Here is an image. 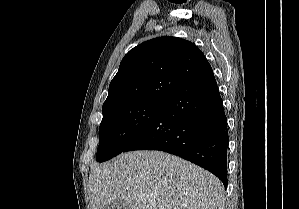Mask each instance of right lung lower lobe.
<instances>
[{"instance_id":"right-lung-lower-lobe-1","label":"right lung lower lobe","mask_w":299,"mask_h":209,"mask_svg":"<svg viewBox=\"0 0 299 209\" xmlns=\"http://www.w3.org/2000/svg\"><path fill=\"white\" fill-rule=\"evenodd\" d=\"M227 119L213 71L186 81L123 152L162 150L216 175L227 187Z\"/></svg>"}]
</instances>
